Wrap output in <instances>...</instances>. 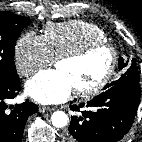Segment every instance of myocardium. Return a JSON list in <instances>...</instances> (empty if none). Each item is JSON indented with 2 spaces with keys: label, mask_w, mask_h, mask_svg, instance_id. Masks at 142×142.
<instances>
[{
  "label": "myocardium",
  "mask_w": 142,
  "mask_h": 142,
  "mask_svg": "<svg viewBox=\"0 0 142 142\" xmlns=\"http://www.w3.org/2000/svg\"><path fill=\"white\" fill-rule=\"evenodd\" d=\"M101 49H106L110 53L111 60L109 67L105 74L101 77V79L97 81L95 84L85 88H76L75 92L78 95L92 96L99 93L108 85V83L113 78L118 66L119 53L117 49L111 43H108L106 41L92 42L84 45L83 47L77 50L65 53L57 58L56 63L60 61H79Z\"/></svg>",
  "instance_id": "myocardium-1"
}]
</instances>
